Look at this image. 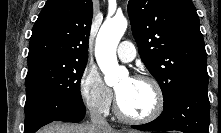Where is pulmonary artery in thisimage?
<instances>
[{
    "label": "pulmonary artery",
    "instance_id": "e3ab8cb5",
    "mask_svg": "<svg viewBox=\"0 0 221 133\" xmlns=\"http://www.w3.org/2000/svg\"><path fill=\"white\" fill-rule=\"evenodd\" d=\"M117 54L121 61L131 62L136 56V51L131 42L123 41L118 47Z\"/></svg>",
    "mask_w": 221,
    "mask_h": 133
}]
</instances>
